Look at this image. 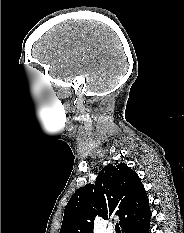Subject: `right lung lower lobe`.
I'll list each match as a JSON object with an SVG mask.
<instances>
[{"label":"right lung lower lobe","instance_id":"right-lung-lower-lobe-1","mask_svg":"<svg viewBox=\"0 0 184 233\" xmlns=\"http://www.w3.org/2000/svg\"><path fill=\"white\" fill-rule=\"evenodd\" d=\"M151 212L149 206L122 227V233H149Z\"/></svg>","mask_w":184,"mask_h":233}]
</instances>
